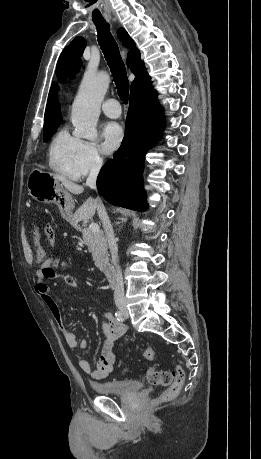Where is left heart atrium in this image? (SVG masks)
<instances>
[{
    "label": "left heart atrium",
    "instance_id": "obj_1",
    "mask_svg": "<svg viewBox=\"0 0 261 459\" xmlns=\"http://www.w3.org/2000/svg\"><path fill=\"white\" fill-rule=\"evenodd\" d=\"M102 147L106 154H112L121 145L124 137L122 127L116 122L106 123L101 131Z\"/></svg>",
    "mask_w": 261,
    "mask_h": 459
}]
</instances>
